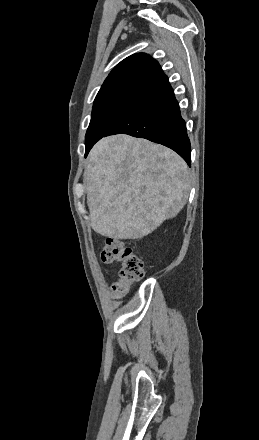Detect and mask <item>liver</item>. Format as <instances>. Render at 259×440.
Here are the masks:
<instances>
[{"label":"liver","mask_w":259,"mask_h":440,"mask_svg":"<svg viewBox=\"0 0 259 440\" xmlns=\"http://www.w3.org/2000/svg\"><path fill=\"white\" fill-rule=\"evenodd\" d=\"M84 177L91 227L113 239H142L187 202L190 172L174 151L119 134L98 141Z\"/></svg>","instance_id":"1"}]
</instances>
